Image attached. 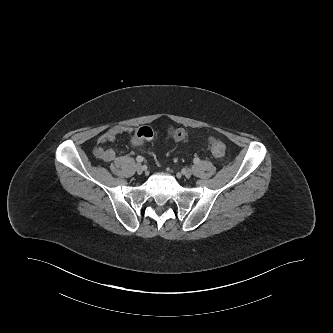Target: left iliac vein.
<instances>
[{"instance_id": "obj_1", "label": "left iliac vein", "mask_w": 333, "mask_h": 333, "mask_svg": "<svg viewBox=\"0 0 333 333\" xmlns=\"http://www.w3.org/2000/svg\"><path fill=\"white\" fill-rule=\"evenodd\" d=\"M192 173H193L192 170L189 169V168L185 169L184 172H183V174L186 178H190L192 176Z\"/></svg>"}]
</instances>
